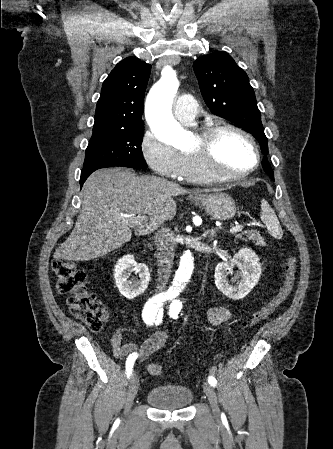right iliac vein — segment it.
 Here are the masks:
<instances>
[{
	"mask_svg": "<svg viewBox=\"0 0 333 449\" xmlns=\"http://www.w3.org/2000/svg\"><path fill=\"white\" fill-rule=\"evenodd\" d=\"M138 387H139V379L136 372L133 371L126 396L125 413H128L131 408L135 396L137 394Z\"/></svg>",
	"mask_w": 333,
	"mask_h": 449,
	"instance_id": "1",
	"label": "right iliac vein"
}]
</instances>
